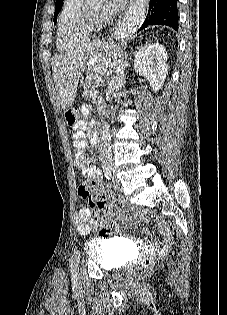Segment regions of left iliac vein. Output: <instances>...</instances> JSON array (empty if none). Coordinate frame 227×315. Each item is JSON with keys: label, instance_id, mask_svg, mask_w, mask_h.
I'll use <instances>...</instances> for the list:
<instances>
[{"label": "left iliac vein", "instance_id": "obj_1", "mask_svg": "<svg viewBox=\"0 0 227 315\" xmlns=\"http://www.w3.org/2000/svg\"><path fill=\"white\" fill-rule=\"evenodd\" d=\"M113 186L115 189H120V182H119V179L118 178H114L113 179Z\"/></svg>", "mask_w": 227, "mask_h": 315}]
</instances>
